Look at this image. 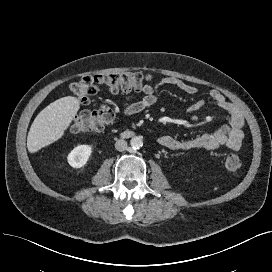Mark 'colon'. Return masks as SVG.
Listing matches in <instances>:
<instances>
[{"mask_svg": "<svg viewBox=\"0 0 272 272\" xmlns=\"http://www.w3.org/2000/svg\"><path fill=\"white\" fill-rule=\"evenodd\" d=\"M101 88H106L111 93L140 91L151 92V77L141 73H117L106 75H87L78 82L72 83L70 90L75 98L84 104H90V97L99 93ZM115 119L114 110L103 103L94 104L92 110L78 114L70 125L73 133L101 131L110 126ZM226 168L236 171L241 168L242 160L239 156L231 154L226 158Z\"/></svg>", "mask_w": 272, "mask_h": 272, "instance_id": "obj_1", "label": "colon"}]
</instances>
